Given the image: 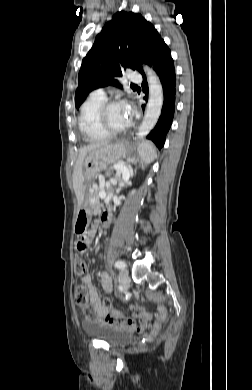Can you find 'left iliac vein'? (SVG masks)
<instances>
[{"label":"left iliac vein","mask_w":252,"mask_h":390,"mask_svg":"<svg viewBox=\"0 0 252 390\" xmlns=\"http://www.w3.org/2000/svg\"><path fill=\"white\" fill-rule=\"evenodd\" d=\"M119 281L122 285V288L125 291H127L129 289V286H130V278H129L126 270H121V272L119 274Z\"/></svg>","instance_id":"left-iliac-vein-1"}]
</instances>
